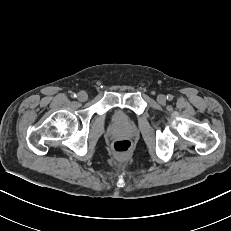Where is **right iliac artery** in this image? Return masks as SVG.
<instances>
[{
	"mask_svg": "<svg viewBox=\"0 0 231 231\" xmlns=\"http://www.w3.org/2000/svg\"><path fill=\"white\" fill-rule=\"evenodd\" d=\"M71 97H72V98H75V97H76V94H75V93H72V94H71Z\"/></svg>",
	"mask_w": 231,
	"mask_h": 231,
	"instance_id": "obj_1",
	"label": "right iliac artery"
}]
</instances>
